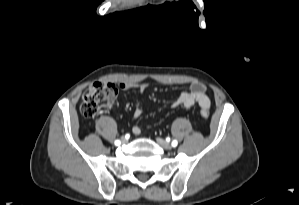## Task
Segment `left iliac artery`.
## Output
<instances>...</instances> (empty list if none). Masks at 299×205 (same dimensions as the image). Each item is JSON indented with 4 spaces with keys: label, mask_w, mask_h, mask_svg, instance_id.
Segmentation results:
<instances>
[{
    "label": "left iliac artery",
    "mask_w": 299,
    "mask_h": 205,
    "mask_svg": "<svg viewBox=\"0 0 299 205\" xmlns=\"http://www.w3.org/2000/svg\"><path fill=\"white\" fill-rule=\"evenodd\" d=\"M177 144H178L177 140H173V141H172V146H173V147H176Z\"/></svg>",
    "instance_id": "obj_1"
}]
</instances>
